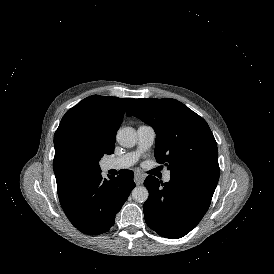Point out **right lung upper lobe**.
<instances>
[{"label": "right lung upper lobe", "mask_w": 274, "mask_h": 274, "mask_svg": "<svg viewBox=\"0 0 274 274\" xmlns=\"http://www.w3.org/2000/svg\"><path fill=\"white\" fill-rule=\"evenodd\" d=\"M134 99L93 95L63 116L54 135L53 169L61 197L101 172L95 154L114 152L116 132Z\"/></svg>", "instance_id": "obj_1"}]
</instances>
